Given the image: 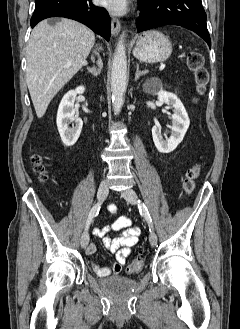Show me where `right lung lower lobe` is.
<instances>
[{"label": "right lung lower lobe", "mask_w": 240, "mask_h": 329, "mask_svg": "<svg viewBox=\"0 0 240 329\" xmlns=\"http://www.w3.org/2000/svg\"><path fill=\"white\" fill-rule=\"evenodd\" d=\"M31 27L49 17H65L79 21L95 33L110 39V18L104 8L92 4L91 0H35Z\"/></svg>", "instance_id": "right-lung-lower-lobe-1"}]
</instances>
